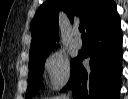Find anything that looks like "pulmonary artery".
I'll return each instance as SVG.
<instances>
[{"label":"pulmonary artery","instance_id":"obj_1","mask_svg":"<svg viewBox=\"0 0 128 99\" xmlns=\"http://www.w3.org/2000/svg\"><path fill=\"white\" fill-rule=\"evenodd\" d=\"M74 44L77 47H81L82 46V40H81V37L79 36L78 32H76V34H75Z\"/></svg>","mask_w":128,"mask_h":99}]
</instances>
